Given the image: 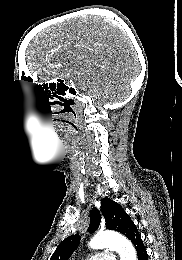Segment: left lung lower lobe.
Instances as JSON below:
<instances>
[{
  "mask_svg": "<svg viewBox=\"0 0 182 260\" xmlns=\"http://www.w3.org/2000/svg\"><path fill=\"white\" fill-rule=\"evenodd\" d=\"M129 240H131L134 245L138 260H148V254L144 247L143 241L141 240L140 234L138 232L137 227L135 226L130 233L126 236Z\"/></svg>",
  "mask_w": 182,
  "mask_h": 260,
  "instance_id": "obj_1",
  "label": "left lung lower lobe"
}]
</instances>
